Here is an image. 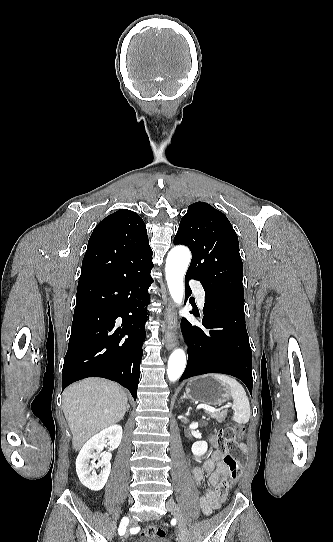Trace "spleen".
I'll use <instances>...</instances> for the list:
<instances>
[{
    "mask_svg": "<svg viewBox=\"0 0 333 542\" xmlns=\"http://www.w3.org/2000/svg\"><path fill=\"white\" fill-rule=\"evenodd\" d=\"M214 380H217L222 386H226L230 398L233 400L231 404L232 410H234V416L232 418L233 422L237 424H247L250 420V404L246 396V392L234 378H229V376H224V374H210Z\"/></svg>",
    "mask_w": 333,
    "mask_h": 542,
    "instance_id": "spleen-1",
    "label": "spleen"
}]
</instances>
